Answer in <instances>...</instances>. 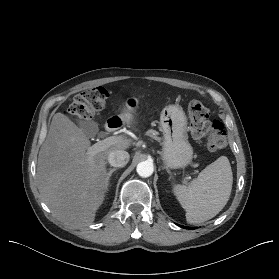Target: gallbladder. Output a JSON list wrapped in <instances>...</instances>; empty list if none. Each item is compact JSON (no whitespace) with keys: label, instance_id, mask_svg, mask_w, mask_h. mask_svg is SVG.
Here are the masks:
<instances>
[{"label":"gallbladder","instance_id":"bac80fb5","mask_svg":"<svg viewBox=\"0 0 279 279\" xmlns=\"http://www.w3.org/2000/svg\"><path fill=\"white\" fill-rule=\"evenodd\" d=\"M79 127L87 137H93L98 132V125L94 121H79Z\"/></svg>","mask_w":279,"mask_h":279}]
</instances>
